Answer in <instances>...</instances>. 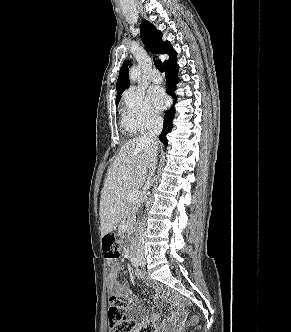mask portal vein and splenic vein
Returning a JSON list of instances; mask_svg holds the SVG:
<instances>
[{
	"instance_id": "portal-vein-and-splenic-vein-1",
	"label": "portal vein and splenic vein",
	"mask_w": 291,
	"mask_h": 332,
	"mask_svg": "<svg viewBox=\"0 0 291 332\" xmlns=\"http://www.w3.org/2000/svg\"><path fill=\"white\" fill-rule=\"evenodd\" d=\"M139 197V191L138 190H132L127 195V201L128 202H134Z\"/></svg>"
}]
</instances>
